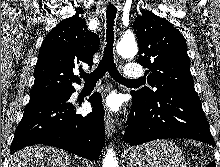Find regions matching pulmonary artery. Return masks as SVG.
Here are the masks:
<instances>
[{
  "label": "pulmonary artery",
  "mask_w": 220,
  "mask_h": 167,
  "mask_svg": "<svg viewBox=\"0 0 220 167\" xmlns=\"http://www.w3.org/2000/svg\"><path fill=\"white\" fill-rule=\"evenodd\" d=\"M144 68L139 64H127L125 66L124 76L127 79H135L144 75Z\"/></svg>",
  "instance_id": "pulmonary-artery-1"
}]
</instances>
